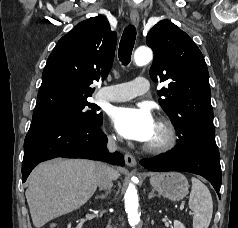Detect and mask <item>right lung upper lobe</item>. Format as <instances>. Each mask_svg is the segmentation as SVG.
Returning <instances> with one entry per match:
<instances>
[{"mask_svg":"<svg viewBox=\"0 0 238 228\" xmlns=\"http://www.w3.org/2000/svg\"><path fill=\"white\" fill-rule=\"evenodd\" d=\"M116 33L102 16L77 24L63 36L48 57L33 116L46 115L78 104L94 91L111 69Z\"/></svg>","mask_w":238,"mask_h":228,"instance_id":"1","label":"right lung upper lobe"}]
</instances>
